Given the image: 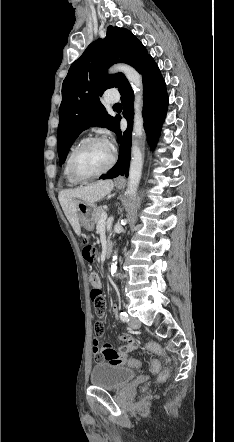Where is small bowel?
<instances>
[{"mask_svg":"<svg viewBox=\"0 0 234 442\" xmlns=\"http://www.w3.org/2000/svg\"><path fill=\"white\" fill-rule=\"evenodd\" d=\"M96 288L101 290V281L99 279ZM117 309L116 305L111 306V310L115 311ZM93 332L96 333L95 336H93V354L96 358L97 364L96 367L99 370H113V369H119L121 366L124 365H131L132 362H130L129 354L135 350L137 347V344L134 341V338L130 335H122L118 338L120 342H125L126 345L123 346L120 349H117L116 347L110 345V344H104L103 346L100 345L103 341L104 337V331L105 327L107 325V322L105 320L104 316H101L100 319H96L94 322Z\"/></svg>","mask_w":234,"mask_h":442,"instance_id":"small-bowel-1","label":"small bowel"}]
</instances>
